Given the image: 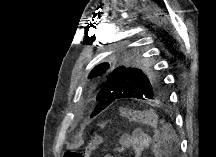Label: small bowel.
Segmentation results:
<instances>
[{"label": "small bowel", "mask_w": 216, "mask_h": 157, "mask_svg": "<svg viewBox=\"0 0 216 157\" xmlns=\"http://www.w3.org/2000/svg\"><path fill=\"white\" fill-rule=\"evenodd\" d=\"M151 145V137L142 130H134L131 133L123 134L119 140L117 152L131 150L133 155L138 157Z\"/></svg>", "instance_id": "small-bowel-1"}]
</instances>
